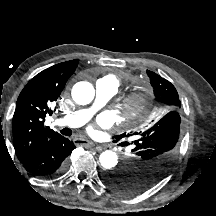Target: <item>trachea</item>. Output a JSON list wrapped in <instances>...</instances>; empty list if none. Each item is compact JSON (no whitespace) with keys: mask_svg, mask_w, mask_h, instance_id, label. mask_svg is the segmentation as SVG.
<instances>
[{"mask_svg":"<svg viewBox=\"0 0 216 216\" xmlns=\"http://www.w3.org/2000/svg\"><path fill=\"white\" fill-rule=\"evenodd\" d=\"M61 133L63 135H66V136H70L71 135V130L68 129V128H64L63 130H61Z\"/></svg>","mask_w":216,"mask_h":216,"instance_id":"3493384b","label":"trachea"}]
</instances>
